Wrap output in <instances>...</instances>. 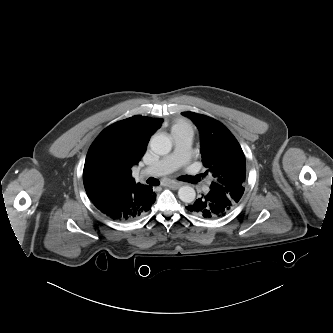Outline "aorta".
Listing matches in <instances>:
<instances>
[{"label": "aorta", "instance_id": "obj_1", "mask_svg": "<svg viewBox=\"0 0 333 333\" xmlns=\"http://www.w3.org/2000/svg\"><path fill=\"white\" fill-rule=\"evenodd\" d=\"M152 151L159 155H166L171 151L172 142L170 138L163 134L154 135L150 141ZM178 196L185 203H192L195 200L196 192L191 186H182L178 190Z\"/></svg>", "mask_w": 333, "mask_h": 333}]
</instances>
